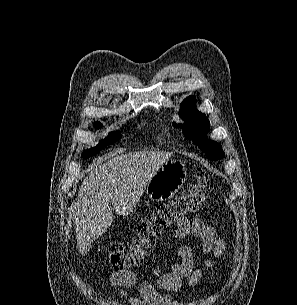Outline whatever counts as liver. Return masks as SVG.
I'll list each match as a JSON object with an SVG mask.
<instances>
[{"instance_id":"obj_1","label":"liver","mask_w":297,"mask_h":305,"mask_svg":"<svg viewBox=\"0 0 297 305\" xmlns=\"http://www.w3.org/2000/svg\"><path fill=\"white\" fill-rule=\"evenodd\" d=\"M171 155L153 150L113 154L90 172L75 204L76 239L82 256L111 226L114 215L110 203L119 215L132 212L148 182Z\"/></svg>"}]
</instances>
